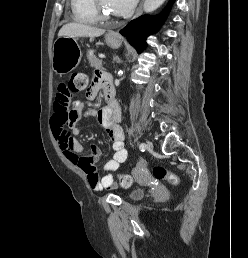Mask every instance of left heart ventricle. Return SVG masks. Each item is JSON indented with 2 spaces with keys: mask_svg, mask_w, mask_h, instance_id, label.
Returning a JSON list of instances; mask_svg holds the SVG:
<instances>
[{
  "mask_svg": "<svg viewBox=\"0 0 248 258\" xmlns=\"http://www.w3.org/2000/svg\"><path fill=\"white\" fill-rule=\"evenodd\" d=\"M102 2V5L104 7V9L107 11V13H111V10L109 9V6H108V1L107 0H101Z\"/></svg>",
  "mask_w": 248,
  "mask_h": 258,
  "instance_id": "obj_1",
  "label": "left heart ventricle"
}]
</instances>
